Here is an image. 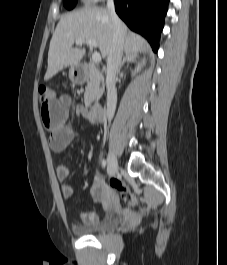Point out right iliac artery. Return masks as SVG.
I'll use <instances>...</instances> for the list:
<instances>
[{"label":"right iliac artery","instance_id":"obj_1","mask_svg":"<svg viewBox=\"0 0 227 265\" xmlns=\"http://www.w3.org/2000/svg\"><path fill=\"white\" fill-rule=\"evenodd\" d=\"M102 165H103V167L106 166V160L105 159L102 160Z\"/></svg>","mask_w":227,"mask_h":265}]
</instances>
